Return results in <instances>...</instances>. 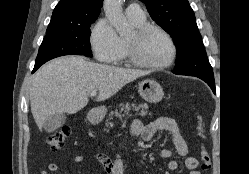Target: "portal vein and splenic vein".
<instances>
[{"label":"portal vein and splenic vein","mask_w":249,"mask_h":174,"mask_svg":"<svg viewBox=\"0 0 249 174\" xmlns=\"http://www.w3.org/2000/svg\"><path fill=\"white\" fill-rule=\"evenodd\" d=\"M96 94H97V91H96V90H93V91H91V93H90V95L93 96V97L96 96Z\"/></svg>","instance_id":"1"}]
</instances>
